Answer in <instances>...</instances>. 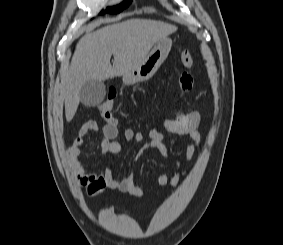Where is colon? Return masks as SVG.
<instances>
[{
  "mask_svg": "<svg viewBox=\"0 0 283 245\" xmlns=\"http://www.w3.org/2000/svg\"><path fill=\"white\" fill-rule=\"evenodd\" d=\"M194 62V56L190 51H184L181 55V63L184 67H191ZM116 93L113 90L108 92L107 98L98 104L97 108L101 113L102 117L110 123H115L116 121L112 116V109L114 106Z\"/></svg>",
  "mask_w": 283,
  "mask_h": 245,
  "instance_id": "5ec220e1",
  "label": "colon"
}]
</instances>
